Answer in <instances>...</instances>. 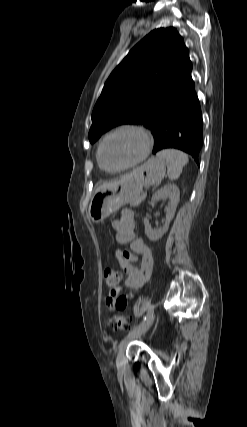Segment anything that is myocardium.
I'll return each instance as SVG.
<instances>
[{
	"mask_svg": "<svg viewBox=\"0 0 247 427\" xmlns=\"http://www.w3.org/2000/svg\"><path fill=\"white\" fill-rule=\"evenodd\" d=\"M124 130H132V131L139 133L142 136V138L144 139V149H143L141 155L135 161L131 162L130 164L125 165V166L118 168V169H113V170L108 169L107 167H105V165L102 161L103 146L110 137H112L113 135L117 134L118 132H121ZM152 146H153V137H152V134L150 133V131L146 127H144L140 124H135V123L121 124V125L113 128L111 131H109L102 138V140L98 146V151H97L98 163H99L100 167L108 173L122 172V171L130 169V168L140 164L141 162H143L148 157V155L152 149Z\"/></svg>",
	"mask_w": 247,
	"mask_h": 427,
	"instance_id": "1",
	"label": "myocardium"
}]
</instances>
